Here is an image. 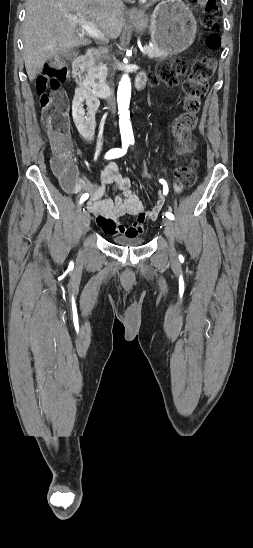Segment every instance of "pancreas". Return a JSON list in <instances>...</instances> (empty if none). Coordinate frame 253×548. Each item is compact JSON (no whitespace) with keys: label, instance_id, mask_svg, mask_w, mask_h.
<instances>
[{"label":"pancreas","instance_id":"obj_1","mask_svg":"<svg viewBox=\"0 0 253 548\" xmlns=\"http://www.w3.org/2000/svg\"><path fill=\"white\" fill-rule=\"evenodd\" d=\"M151 59H166L170 53L160 49L157 46L150 47L146 53ZM88 78L91 80V85L98 88L103 85L107 75L106 66L100 61H93L87 68Z\"/></svg>","mask_w":253,"mask_h":548}]
</instances>
